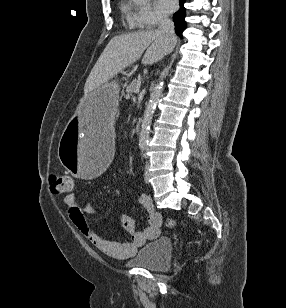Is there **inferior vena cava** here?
<instances>
[{"label":"inferior vena cava","mask_w":286,"mask_h":308,"mask_svg":"<svg viewBox=\"0 0 286 308\" xmlns=\"http://www.w3.org/2000/svg\"><path fill=\"white\" fill-rule=\"evenodd\" d=\"M157 31L169 41H176L174 23L168 17L162 16L160 18L159 28Z\"/></svg>","instance_id":"obj_1"}]
</instances>
